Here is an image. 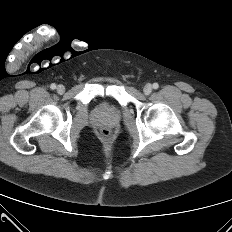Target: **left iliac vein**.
Instances as JSON below:
<instances>
[{
    "mask_svg": "<svg viewBox=\"0 0 232 232\" xmlns=\"http://www.w3.org/2000/svg\"><path fill=\"white\" fill-rule=\"evenodd\" d=\"M152 85L151 84H146L143 88V92L145 95H149L152 92Z\"/></svg>",
    "mask_w": 232,
    "mask_h": 232,
    "instance_id": "left-iliac-vein-1",
    "label": "left iliac vein"
}]
</instances>
